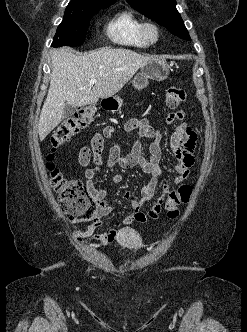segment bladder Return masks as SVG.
<instances>
[{
	"instance_id": "bladder-1",
	"label": "bladder",
	"mask_w": 247,
	"mask_h": 332,
	"mask_svg": "<svg viewBox=\"0 0 247 332\" xmlns=\"http://www.w3.org/2000/svg\"><path fill=\"white\" fill-rule=\"evenodd\" d=\"M138 242V238L136 236H134V238L131 239V241L129 242L130 244L134 245Z\"/></svg>"
}]
</instances>
